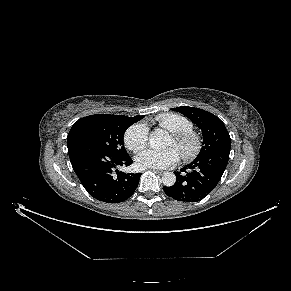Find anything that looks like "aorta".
<instances>
[{
  "label": "aorta",
  "mask_w": 291,
  "mask_h": 291,
  "mask_svg": "<svg viewBox=\"0 0 291 291\" xmlns=\"http://www.w3.org/2000/svg\"><path fill=\"white\" fill-rule=\"evenodd\" d=\"M169 140V134L163 130H157L152 132L149 137L150 146L153 149H160L167 144ZM162 182L165 186H173L176 182V176L172 172H166L162 176Z\"/></svg>",
  "instance_id": "aorta-1"
}]
</instances>
